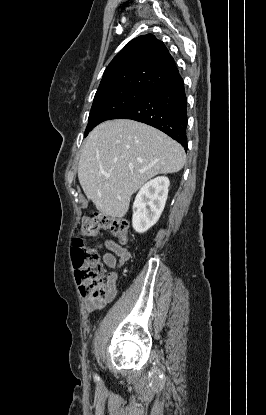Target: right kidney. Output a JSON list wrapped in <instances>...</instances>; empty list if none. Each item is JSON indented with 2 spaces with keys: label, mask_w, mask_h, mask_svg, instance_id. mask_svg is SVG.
<instances>
[{
  "label": "right kidney",
  "mask_w": 266,
  "mask_h": 415,
  "mask_svg": "<svg viewBox=\"0 0 266 415\" xmlns=\"http://www.w3.org/2000/svg\"><path fill=\"white\" fill-rule=\"evenodd\" d=\"M170 181L165 176L154 178L144 184L133 204L132 226L138 233L151 228L164 210Z\"/></svg>",
  "instance_id": "ca27d5eb"
}]
</instances>
